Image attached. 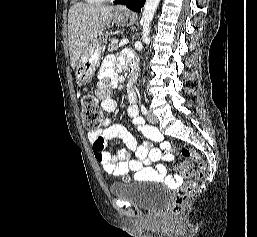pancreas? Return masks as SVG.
<instances>
[{"mask_svg":"<svg viewBox=\"0 0 257 237\" xmlns=\"http://www.w3.org/2000/svg\"><path fill=\"white\" fill-rule=\"evenodd\" d=\"M118 46H119L118 41H117L116 39H113V40L109 43V45H108V51H109V52L116 51L117 48H118Z\"/></svg>","mask_w":257,"mask_h":237,"instance_id":"obj_1","label":"pancreas"}]
</instances>
